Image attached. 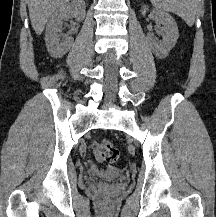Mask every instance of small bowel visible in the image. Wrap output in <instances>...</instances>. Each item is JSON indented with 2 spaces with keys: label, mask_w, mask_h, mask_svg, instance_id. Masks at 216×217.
<instances>
[{
  "label": "small bowel",
  "mask_w": 216,
  "mask_h": 217,
  "mask_svg": "<svg viewBox=\"0 0 216 217\" xmlns=\"http://www.w3.org/2000/svg\"><path fill=\"white\" fill-rule=\"evenodd\" d=\"M96 145L97 143H92L90 147V151L92 155V158L90 160L91 174L94 177H98V178H103V179L110 178L114 174L118 173V169L115 167H102L99 164L98 158L96 156Z\"/></svg>",
  "instance_id": "obj_1"
}]
</instances>
